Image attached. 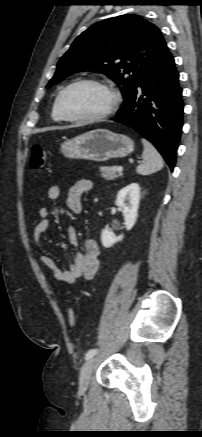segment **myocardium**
I'll return each mask as SVG.
<instances>
[{
    "mask_svg": "<svg viewBox=\"0 0 202 437\" xmlns=\"http://www.w3.org/2000/svg\"><path fill=\"white\" fill-rule=\"evenodd\" d=\"M82 84H91V85L97 86V87L105 90L110 95V98H111L110 104L103 112H101L100 114H97V115L86 116V117H76V116L69 115L66 112V110L64 108L65 96L72 88L79 86V85H82ZM120 101H121L120 94L114 86L107 84L105 82H102L100 80H97V79L82 78V79H78V80L70 83L60 92V94L58 96V100H57V107H58V111H59L61 117L64 120L69 121V122H73V123L88 124V123L101 122V121L107 119L108 117H110L119 107Z\"/></svg>",
    "mask_w": 202,
    "mask_h": 437,
    "instance_id": "myocardium-1",
    "label": "myocardium"
}]
</instances>
